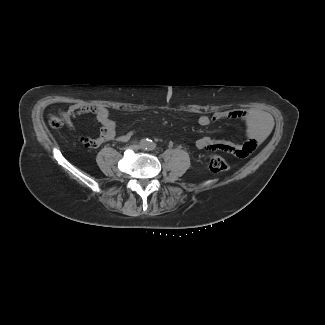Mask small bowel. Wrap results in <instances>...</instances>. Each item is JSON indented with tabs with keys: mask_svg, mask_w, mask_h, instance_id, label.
Masks as SVG:
<instances>
[{
	"mask_svg": "<svg viewBox=\"0 0 325 325\" xmlns=\"http://www.w3.org/2000/svg\"><path fill=\"white\" fill-rule=\"evenodd\" d=\"M94 114L101 125L100 134L96 138L81 137L80 142L84 147L97 148L108 141L128 142L134 132L129 131L118 135L116 125L111 118L108 109L104 106L89 104H74L65 112V118L70 127H73V120L81 115ZM223 119H239L245 124V141L242 144H234L230 141L216 140L210 137H202L197 140L199 149L208 151H224L238 157H245L252 153L256 147L263 142L269 134L273 122L271 116L262 110H231L217 112L212 116L202 115L198 119L201 126H208L212 122Z\"/></svg>",
	"mask_w": 325,
	"mask_h": 325,
	"instance_id": "c3829d8e",
	"label": "small bowel"
}]
</instances>
